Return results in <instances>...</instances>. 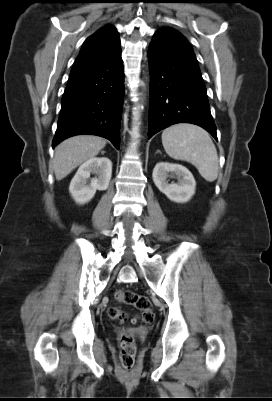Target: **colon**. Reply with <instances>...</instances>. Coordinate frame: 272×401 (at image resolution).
I'll list each match as a JSON object with an SVG mask.
<instances>
[{"label":"colon","mask_w":272,"mask_h":401,"mask_svg":"<svg viewBox=\"0 0 272 401\" xmlns=\"http://www.w3.org/2000/svg\"><path fill=\"white\" fill-rule=\"evenodd\" d=\"M115 300L118 303L132 305L141 311L140 320L145 324L154 321L155 313L149 299L137 294L131 290H119L115 293ZM109 316L116 320H125L126 314L121 312L117 307H110ZM119 358L124 370L131 371L135 365L136 344L134 337L129 332H122L119 335Z\"/></svg>","instance_id":"5ec220e1"}]
</instances>
